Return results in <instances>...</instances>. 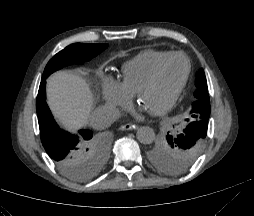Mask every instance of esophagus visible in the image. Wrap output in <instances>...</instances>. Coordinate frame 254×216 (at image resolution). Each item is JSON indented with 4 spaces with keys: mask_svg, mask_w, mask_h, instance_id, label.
Masks as SVG:
<instances>
[{
    "mask_svg": "<svg viewBox=\"0 0 254 216\" xmlns=\"http://www.w3.org/2000/svg\"><path fill=\"white\" fill-rule=\"evenodd\" d=\"M137 128V125L136 124H133V123H126L122 126H120V130L122 131H126V130H134Z\"/></svg>",
    "mask_w": 254,
    "mask_h": 216,
    "instance_id": "1",
    "label": "esophagus"
}]
</instances>
